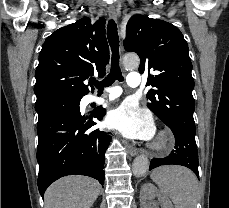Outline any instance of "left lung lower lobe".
Returning <instances> with one entry per match:
<instances>
[{"instance_id": "obj_1", "label": "left lung lower lobe", "mask_w": 229, "mask_h": 208, "mask_svg": "<svg viewBox=\"0 0 229 208\" xmlns=\"http://www.w3.org/2000/svg\"><path fill=\"white\" fill-rule=\"evenodd\" d=\"M175 136V150L165 158L151 160L150 170L160 165H182L191 169L199 178L198 151L195 142V130L186 125L168 126Z\"/></svg>"}]
</instances>
